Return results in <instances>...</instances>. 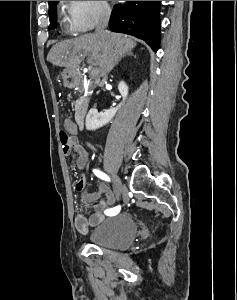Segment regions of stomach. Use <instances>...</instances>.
Wrapping results in <instances>:
<instances>
[{
  "mask_svg": "<svg viewBox=\"0 0 237 300\" xmlns=\"http://www.w3.org/2000/svg\"><path fill=\"white\" fill-rule=\"evenodd\" d=\"M73 75V71H69V69H65V71H63V79H64V83H66V85H69V79H71ZM76 79H77V75H75ZM72 85H76V83H72Z\"/></svg>",
  "mask_w": 237,
  "mask_h": 300,
  "instance_id": "0dacf381",
  "label": "stomach"
}]
</instances>
